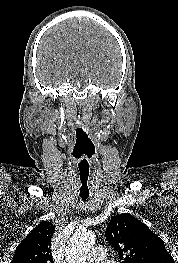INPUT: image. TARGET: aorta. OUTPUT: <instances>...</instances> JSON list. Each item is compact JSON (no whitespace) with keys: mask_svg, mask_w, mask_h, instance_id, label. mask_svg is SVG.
<instances>
[{"mask_svg":"<svg viewBox=\"0 0 178 263\" xmlns=\"http://www.w3.org/2000/svg\"><path fill=\"white\" fill-rule=\"evenodd\" d=\"M96 236L86 229L77 230L66 247L68 263H86L87 253L95 243Z\"/></svg>","mask_w":178,"mask_h":263,"instance_id":"762f6f07","label":"aorta"}]
</instances>
